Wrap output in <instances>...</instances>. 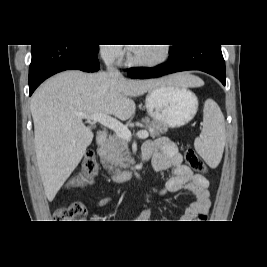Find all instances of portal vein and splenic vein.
<instances>
[{
  "label": "portal vein and splenic vein",
  "mask_w": 267,
  "mask_h": 267,
  "mask_svg": "<svg viewBox=\"0 0 267 267\" xmlns=\"http://www.w3.org/2000/svg\"><path fill=\"white\" fill-rule=\"evenodd\" d=\"M78 116L89 121L99 122L103 126L112 129L119 137L127 141L131 140L132 138L131 132L124 124H122L117 119L105 113H96V114L79 113ZM136 135L138 138L146 139L148 138L149 133L147 131H139Z\"/></svg>",
  "instance_id": "18ae733b"
}]
</instances>
